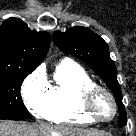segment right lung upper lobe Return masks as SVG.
Masks as SVG:
<instances>
[{
	"instance_id": "1",
	"label": "right lung upper lobe",
	"mask_w": 136,
	"mask_h": 136,
	"mask_svg": "<svg viewBox=\"0 0 136 136\" xmlns=\"http://www.w3.org/2000/svg\"><path fill=\"white\" fill-rule=\"evenodd\" d=\"M50 44L47 32L30 30L18 18L0 26V72H32L44 59Z\"/></svg>"
}]
</instances>
